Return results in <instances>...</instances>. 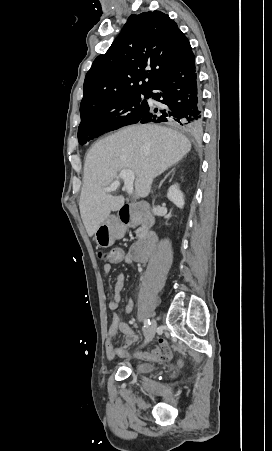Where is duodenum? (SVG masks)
Returning <instances> with one entry per match:
<instances>
[{
  "label": "duodenum",
  "mask_w": 272,
  "mask_h": 451,
  "mask_svg": "<svg viewBox=\"0 0 272 451\" xmlns=\"http://www.w3.org/2000/svg\"><path fill=\"white\" fill-rule=\"evenodd\" d=\"M119 221L126 226L142 224L147 229L142 238L130 248L129 257L137 262L148 260L157 243L156 233L150 230L153 224V218L149 212L148 205L137 203L121 206L119 210Z\"/></svg>",
  "instance_id": "410a0bca"
}]
</instances>
